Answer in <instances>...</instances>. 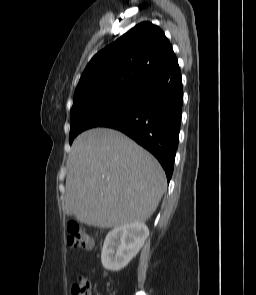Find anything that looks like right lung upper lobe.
<instances>
[{
    "label": "right lung upper lobe",
    "mask_w": 256,
    "mask_h": 295,
    "mask_svg": "<svg viewBox=\"0 0 256 295\" xmlns=\"http://www.w3.org/2000/svg\"><path fill=\"white\" fill-rule=\"evenodd\" d=\"M175 57L163 31L142 22L91 59L73 101L89 103L136 92Z\"/></svg>",
    "instance_id": "right-lung-upper-lobe-1"
}]
</instances>
